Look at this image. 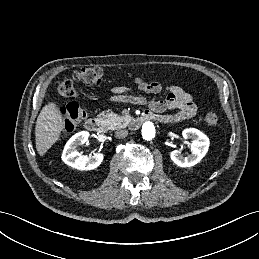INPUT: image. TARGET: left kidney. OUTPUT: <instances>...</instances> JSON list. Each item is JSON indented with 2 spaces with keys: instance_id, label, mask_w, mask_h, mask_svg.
Listing matches in <instances>:
<instances>
[{
  "instance_id": "1",
  "label": "left kidney",
  "mask_w": 259,
  "mask_h": 259,
  "mask_svg": "<svg viewBox=\"0 0 259 259\" xmlns=\"http://www.w3.org/2000/svg\"><path fill=\"white\" fill-rule=\"evenodd\" d=\"M184 139H192L191 154L184 157L180 151L174 150L170 153L171 160L179 167H191L196 165L206 155L209 148V139L201 131L195 128L183 130Z\"/></svg>"
}]
</instances>
